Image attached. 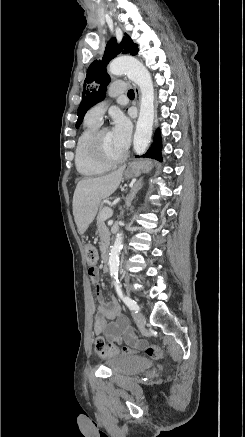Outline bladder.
I'll list each match as a JSON object with an SVG mask.
<instances>
[{
	"instance_id": "31cf9c89",
	"label": "bladder",
	"mask_w": 245,
	"mask_h": 437,
	"mask_svg": "<svg viewBox=\"0 0 245 437\" xmlns=\"http://www.w3.org/2000/svg\"><path fill=\"white\" fill-rule=\"evenodd\" d=\"M106 365L115 375H131L150 366L151 362L141 356L109 355Z\"/></svg>"
}]
</instances>
